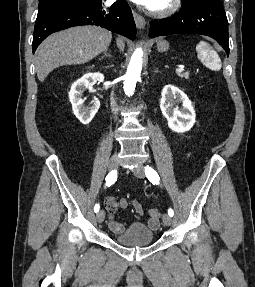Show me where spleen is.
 <instances>
[{"mask_svg":"<svg viewBox=\"0 0 255 287\" xmlns=\"http://www.w3.org/2000/svg\"><path fill=\"white\" fill-rule=\"evenodd\" d=\"M197 52L202 54L203 64L207 68H210V70H221V60L217 52L207 42H200L199 46H197Z\"/></svg>","mask_w":255,"mask_h":287,"instance_id":"3e777b00","label":"spleen"}]
</instances>
